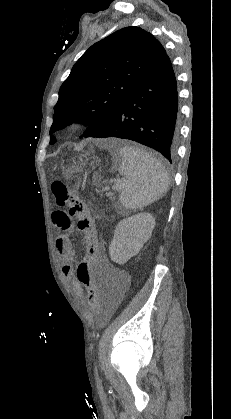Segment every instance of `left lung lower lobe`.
Listing matches in <instances>:
<instances>
[{
	"label": "left lung lower lobe",
	"instance_id": "left-lung-lower-lobe-1",
	"mask_svg": "<svg viewBox=\"0 0 231 419\" xmlns=\"http://www.w3.org/2000/svg\"><path fill=\"white\" fill-rule=\"evenodd\" d=\"M92 137H118L161 153L170 163L178 137V97L168 55L132 88L109 123Z\"/></svg>",
	"mask_w": 231,
	"mask_h": 419
}]
</instances>
